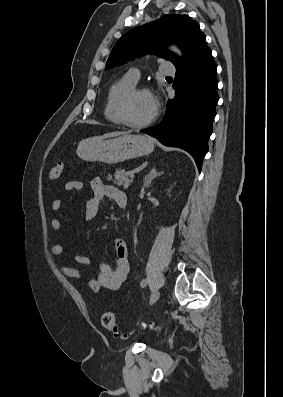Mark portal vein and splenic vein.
<instances>
[{
  "instance_id": "portal-vein-and-splenic-vein-1",
  "label": "portal vein and splenic vein",
  "mask_w": 283,
  "mask_h": 397,
  "mask_svg": "<svg viewBox=\"0 0 283 397\" xmlns=\"http://www.w3.org/2000/svg\"><path fill=\"white\" fill-rule=\"evenodd\" d=\"M128 176L133 179L135 177L134 172L133 171H129L128 172Z\"/></svg>"
}]
</instances>
